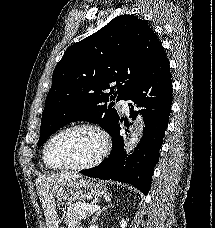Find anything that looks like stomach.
<instances>
[{
  "instance_id": "stomach-1",
  "label": "stomach",
  "mask_w": 215,
  "mask_h": 228,
  "mask_svg": "<svg viewBox=\"0 0 215 228\" xmlns=\"http://www.w3.org/2000/svg\"><path fill=\"white\" fill-rule=\"evenodd\" d=\"M104 194H106V188L101 180H66L57 184L53 192V200L58 208H61L65 202L92 200Z\"/></svg>"
}]
</instances>
